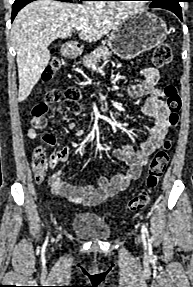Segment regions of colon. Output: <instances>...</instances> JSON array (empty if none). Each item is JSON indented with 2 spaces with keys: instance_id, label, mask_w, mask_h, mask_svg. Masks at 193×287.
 Instances as JSON below:
<instances>
[{
  "instance_id": "1",
  "label": "colon",
  "mask_w": 193,
  "mask_h": 287,
  "mask_svg": "<svg viewBox=\"0 0 193 287\" xmlns=\"http://www.w3.org/2000/svg\"><path fill=\"white\" fill-rule=\"evenodd\" d=\"M152 61L157 67H164L172 61V50L166 45H159L153 53ZM62 63L58 58L51 59L48 68L45 72V78L55 79L61 71ZM167 106L169 109V123L175 127L179 121V113L181 110V98L180 95L173 85H167L164 89ZM82 93L77 88H69L63 93L62 99L57 92L50 91L45 95V102L36 104L32 109V123L37 127L41 128L45 123V116L47 113V104L59 102V110L62 112L71 111L78 113L81 110L80 100ZM172 148L171 141L167 140L164 143L162 149H160L152 158L148 175L146 178L147 189L141 191L126 205V211L136 212L145 208L150 200L151 193L154 191L160 179L162 178L170 160V151ZM49 166V160L47 154L41 147L35 148L32 153V167L35 171L36 181L41 183L44 181L46 171Z\"/></svg>"
}]
</instances>
